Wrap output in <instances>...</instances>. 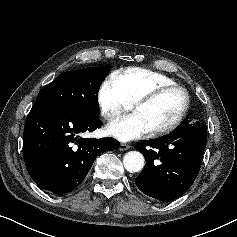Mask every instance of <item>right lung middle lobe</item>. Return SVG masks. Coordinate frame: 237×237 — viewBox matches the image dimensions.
Returning <instances> with one entry per match:
<instances>
[{
    "instance_id": "obj_1",
    "label": "right lung middle lobe",
    "mask_w": 237,
    "mask_h": 237,
    "mask_svg": "<svg viewBox=\"0 0 237 237\" xmlns=\"http://www.w3.org/2000/svg\"><path fill=\"white\" fill-rule=\"evenodd\" d=\"M109 68L67 71L44 87L35 104L60 107L84 118H98V91Z\"/></svg>"
}]
</instances>
